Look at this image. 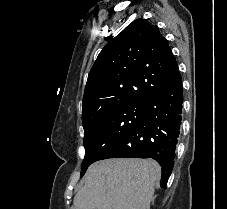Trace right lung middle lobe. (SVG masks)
<instances>
[{"mask_svg": "<svg viewBox=\"0 0 227 209\" xmlns=\"http://www.w3.org/2000/svg\"><path fill=\"white\" fill-rule=\"evenodd\" d=\"M104 110L82 120L85 157L81 164V176L94 162L101 160L140 121L144 102L117 98L100 101Z\"/></svg>", "mask_w": 227, "mask_h": 209, "instance_id": "1", "label": "right lung middle lobe"}]
</instances>
